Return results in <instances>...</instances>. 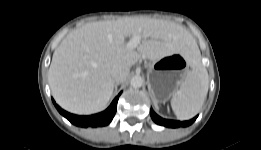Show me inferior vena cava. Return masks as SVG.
<instances>
[{"label":"inferior vena cava","mask_w":261,"mask_h":150,"mask_svg":"<svg viewBox=\"0 0 261 150\" xmlns=\"http://www.w3.org/2000/svg\"><path fill=\"white\" fill-rule=\"evenodd\" d=\"M129 75V68L126 66H114L112 69V79L116 83L126 80Z\"/></svg>","instance_id":"inferior-vena-cava-1"}]
</instances>
